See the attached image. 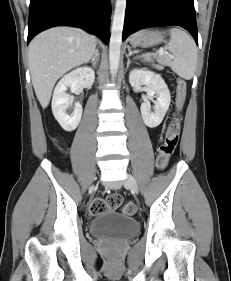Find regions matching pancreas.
<instances>
[{
	"instance_id": "cf45deb5",
	"label": "pancreas",
	"mask_w": 231,
	"mask_h": 281,
	"mask_svg": "<svg viewBox=\"0 0 231 281\" xmlns=\"http://www.w3.org/2000/svg\"><path fill=\"white\" fill-rule=\"evenodd\" d=\"M157 60H158L159 64H154L153 63L152 66L154 68H156L157 70H163V66H162L163 57H159Z\"/></svg>"
}]
</instances>
